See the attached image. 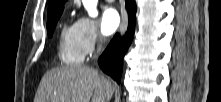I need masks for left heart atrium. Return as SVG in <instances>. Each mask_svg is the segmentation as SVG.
Masks as SVG:
<instances>
[{"label": "left heart atrium", "mask_w": 221, "mask_h": 102, "mask_svg": "<svg viewBox=\"0 0 221 102\" xmlns=\"http://www.w3.org/2000/svg\"><path fill=\"white\" fill-rule=\"evenodd\" d=\"M121 23L119 13L115 8H107L102 15L101 28L105 35H110L117 30Z\"/></svg>", "instance_id": "1"}]
</instances>
